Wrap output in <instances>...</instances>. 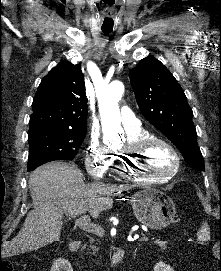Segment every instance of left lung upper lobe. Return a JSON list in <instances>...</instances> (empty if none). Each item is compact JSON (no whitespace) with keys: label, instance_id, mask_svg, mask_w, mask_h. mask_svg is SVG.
<instances>
[{"label":"left lung upper lobe","instance_id":"1","mask_svg":"<svg viewBox=\"0 0 221 271\" xmlns=\"http://www.w3.org/2000/svg\"><path fill=\"white\" fill-rule=\"evenodd\" d=\"M129 77L144 117L178 147L192 168L205 171L192 109L171 72L149 56L129 71Z\"/></svg>","mask_w":221,"mask_h":271}]
</instances>
